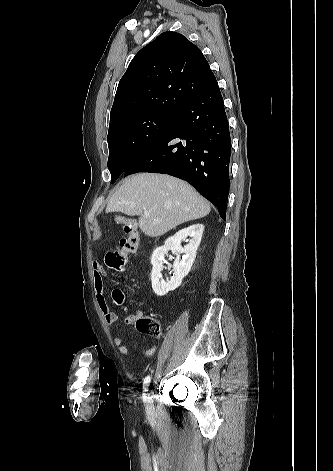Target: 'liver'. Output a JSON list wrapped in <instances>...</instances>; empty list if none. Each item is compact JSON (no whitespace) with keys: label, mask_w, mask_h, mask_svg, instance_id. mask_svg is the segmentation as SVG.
<instances>
[{"label":"liver","mask_w":333,"mask_h":471,"mask_svg":"<svg viewBox=\"0 0 333 471\" xmlns=\"http://www.w3.org/2000/svg\"><path fill=\"white\" fill-rule=\"evenodd\" d=\"M210 210V204L191 185L157 173H138L127 178L110 195L106 207L107 213L138 215L141 231L150 237L161 236L184 222L205 217Z\"/></svg>","instance_id":"6515ba94"}]
</instances>
